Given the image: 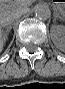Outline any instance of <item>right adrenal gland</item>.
I'll return each mask as SVG.
<instances>
[{"label":"right adrenal gland","mask_w":65,"mask_h":89,"mask_svg":"<svg viewBox=\"0 0 65 89\" xmlns=\"http://www.w3.org/2000/svg\"><path fill=\"white\" fill-rule=\"evenodd\" d=\"M5 28V31H4V29H3V31H4V34H5V36L7 37V35L10 33V31H11V28H12V24H9V25H7L6 27H4Z\"/></svg>","instance_id":"obj_1"}]
</instances>
